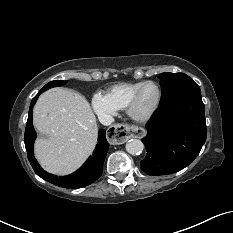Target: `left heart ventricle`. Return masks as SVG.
Instances as JSON below:
<instances>
[{"instance_id": "obj_1", "label": "left heart ventricle", "mask_w": 233, "mask_h": 233, "mask_svg": "<svg viewBox=\"0 0 233 233\" xmlns=\"http://www.w3.org/2000/svg\"><path fill=\"white\" fill-rule=\"evenodd\" d=\"M157 97L158 91L155 86L147 85L144 87L139 97L137 111L139 113H145L149 111L155 105Z\"/></svg>"}]
</instances>
